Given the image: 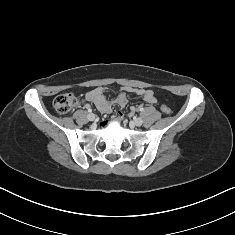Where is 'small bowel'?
<instances>
[{"label":"small bowel","instance_id":"1","mask_svg":"<svg viewBox=\"0 0 235 235\" xmlns=\"http://www.w3.org/2000/svg\"><path fill=\"white\" fill-rule=\"evenodd\" d=\"M106 92L107 89L103 87L95 88L86 93L85 100L92 102L101 113H110L113 103L119 105L120 107H124L128 101L126 92H132L137 96H140L149 104H154L157 101L153 91L150 89L127 87L116 97L114 101H109L106 98ZM130 111L133 113L135 108L132 107ZM122 115L123 114L121 112L118 113L119 117H122Z\"/></svg>","mask_w":235,"mask_h":235}]
</instances>
